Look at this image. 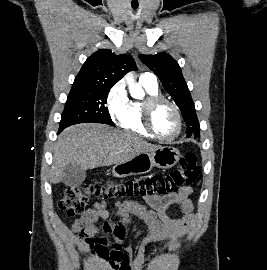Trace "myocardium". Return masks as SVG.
Instances as JSON below:
<instances>
[{
	"label": "myocardium",
	"mask_w": 267,
	"mask_h": 270,
	"mask_svg": "<svg viewBox=\"0 0 267 270\" xmlns=\"http://www.w3.org/2000/svg\"><path fill=\"white\" fill-rule=\"evenodd\" d=\"M161 103L168 104L175 112V115L177 118V131L170 138H165L159 135L153 126V122H152L153 111ZM142 122L145 129L149 132V134L152 137L165 143H173L174 141H176L180 137L181 132H182V127H183L182 115L178 106L171 100L161 95L150 96L144 100L143 106H142Z\"/></svg>",
	"instance_id": "1"
}]
</instances>
